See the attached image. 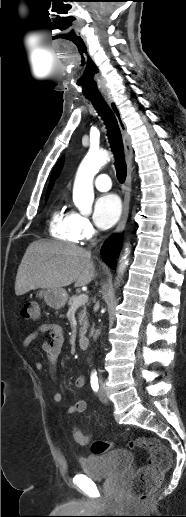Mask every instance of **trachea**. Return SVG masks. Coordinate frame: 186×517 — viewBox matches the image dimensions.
I'll return each mask as SVG.
<instances>
[{
  "label": "trachea",
  "instance_id": "3493384b",
  "mask_svg": "<svg viewBox=\"0 0 186 517\" xmlns=\"http://www.w3.org/2000/svg\"><path fill=\"white\" fill-rule=\"evenodd\" d=\"M86 98L92 103L98 114L102 117L108 129V138L112 147V151L116 157L117 179L120 183H123L126 179L127 168L124 160L121 133L117 119L101 96L86 95Z\"/></svg>",
  "mask_w": 186,
  "mask_h": 517
}]
</instances>
